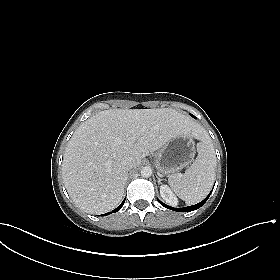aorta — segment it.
<instances>
[{
  "label": "aorta",
  "mask_w": 280,
  "mask_h": 280,
  "mask_svg": "<svg viewBox=\"0 0 280 280\" xmlns=\"http://www.w3.org/2000/svg\"><path fill=\"white\" fill-rule=\"evenodd\" d=\"M152 175V169L150 167H143L141 169V176L148 178Z\"/></svg>",
  "instance_id": "1"
}]
</instances>
